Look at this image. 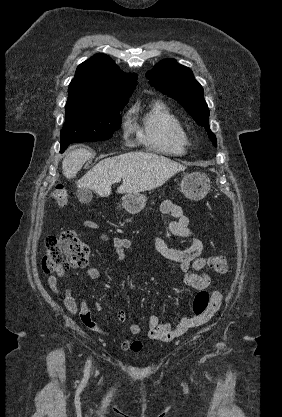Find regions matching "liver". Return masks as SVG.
<instances>
[{
	"label": "liver",
	"mask_w": 282,
	"mask_h": 417,
	"mask_svg": "<svg viewBox=\"0 0 282 417\" xmlns=\"http://www.w3.org/2000/svg\"><path fill=\"white\" fill-rule=\"evenodd\" d=\"M90 158L86 148L71 150L62 160V170L66 178H75L84 162ZM186 166L167 156L153 152H125L118 156L103 158L90 168L82 178L76 180L78 188H91L100 196H109L115 178H123L117 192H142L162 186L171 176L185 170Z\"/></svg>",
	"instance_id": "6515ba94"
}]
</instances>
